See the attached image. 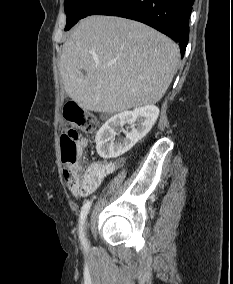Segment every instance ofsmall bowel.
<instances>
[{"label":"small bowel","instance_id":"1","mask_svg":"<svg viewBox=\"0 0 233 284\" xmlns=\"http://www.w3.org/2000/svg\"><path fill=\"white\" fill-rule=\"evenodd\" d=\"M122 161L119 162H109L100 161L91 163L85 170V172L90 175L94 181L93 191L105 180L107 176L112 174L120 165Z\"/></svg>","mask_w":233,"mask_h":284}]
</instances>
